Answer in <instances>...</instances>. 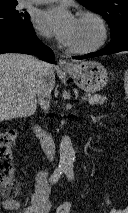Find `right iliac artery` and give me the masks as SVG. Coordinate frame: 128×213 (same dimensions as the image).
Wrapping results in <instances>:
<instances>
[{
	"instance_id": "obj_1",
	"label": "right iliac artery",
	"mask_w": 128,
	"mask_h": 213,
	"mask_svg": "<svg viewBox=\"0 0 128 213\" xmlns=\"http://www.w3.org/2000/svg\"><path fill=\"white\" fill-rule=\"evenodd\" d=\"M66 166L65 165H59L56 170L51 174L49 181L51 184H55L61 175L65 172Z\"/></svg>"
}]
</instances>
